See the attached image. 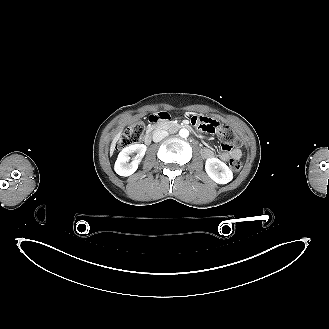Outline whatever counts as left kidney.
I'll return each mask as SVG.
<instances>
[{
	"instance_id": "5707ae66",
	"label": "left kidney",
	"mask_w": 329,
	"mask_h": 329,
	"mask_svg": "<svg viewBox=\"0 0 329 329\" xmlns=\"http://www.w3.org/2000/svg\"><path fill=\"white\" fill-rule=\"evenodd\" d=\"M208 176L218 184H227L233 179L231 169L218 158H209L205 163Z\"/></svg>"
}]
</instances>
